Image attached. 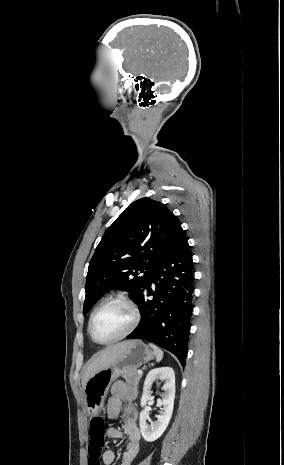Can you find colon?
<instances>
[{"instance_id":"obj_1","label":"colon","mask_w":284,"mask_h":465,"mask_svg":"<svg viewBox=\"0 0 284 465\" xmlns=\"http://www.w3.org/2000/svg\"><path fill=\"white\" fill-rule=\"evenodd\" d=\"M96 420L100 419L99 415L95 416ZM88 437L91 438L86 449L88 454V465H101V449L105 447V434L108 432V427L104 421H89L88 422Z\"/></svg>"}]
</instances>
